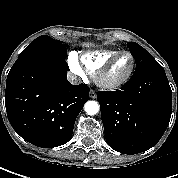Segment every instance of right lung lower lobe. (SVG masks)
<instances>
[{"mask_svg":"<svg viewBox=\"0 0 178 178\" xmlns=\"http://www.w3.org/2000/svg\"><path fill=\"white\" fill-rule=\"evenodd\" d=\"M65 60H17L6 81L8 120L24 140L43 148L67 143L76 117L89 100L85 84L67 80Z\"/></svg>","mask_w":178,"mask_h":178,"instance_id":"1","label":"right lung lower lobe"}]
</instances>
